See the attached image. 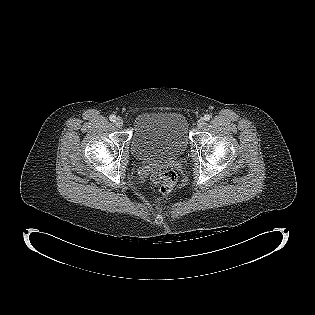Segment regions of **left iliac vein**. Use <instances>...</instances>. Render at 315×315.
<instances>
[{"mask_svg": "<svg viewBox=\"0 0 315 315\" xmlns=\"http://www.w3.org/2000/svg\"><path fill=\"white\" fill-rule=\"evenodd\" d=\"M205 125V120L203 118L199 119L197 122V127L202 128Z\"/></svg>", "mask_w": 315, "mask_h": 315, "instance_id": "obj_1", "label": "left iliac vein"}]
</instances>
